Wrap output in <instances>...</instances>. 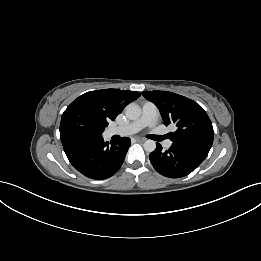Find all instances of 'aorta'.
Wrapping results in <instances>:
<instances>
[{
	"instance_id": "obj_1",
	"label": "aorta",
	"mask_w": 261,
	"mask_h": 261,
	"mask_svg": "<svg viewBox=\"0 0 261 261\" xmlns=\"http://www.w3.org/2000/svg\"><path fill=\"white\" fill-rule=\"evenodd\" d=\"M125 115L130 120H136L141 116V108L139 105L135 103H130L125 108ZM144 150L147 152H153L156 149V143L153 140H147L145 141Z\"/></svg>"
}]
</instances>
